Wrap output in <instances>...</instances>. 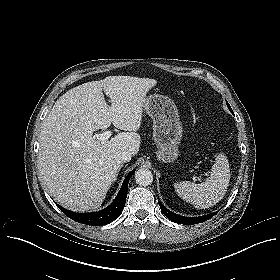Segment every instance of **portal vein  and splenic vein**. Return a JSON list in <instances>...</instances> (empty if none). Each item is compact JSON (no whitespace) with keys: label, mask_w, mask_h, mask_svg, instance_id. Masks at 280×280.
Masks as SVG:
<instances>
[{"label":"portal vein and splenic vein","mask_w":280,"mask_h":280,"mask_svg":"<svg viewBox=\"0 0 280 280\" xmlns=\"http://www.w3.org/2000/svg\"><path fill=\"white\" fill-rule=\"evenodd\" d=\"M112 135V132L111 131H105L101 134H96L94 135V138L100 140V141H106L108 140Z\"/></svg>","instance_id":"portal-vein-and-splenic-vein-1"}]
</instances>
